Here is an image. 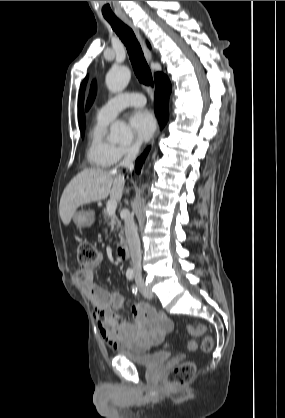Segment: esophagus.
Masks as SVG:
<instances>
[{
	"label": "esophagus",
	"mask_w": 285,
	"mask_h": 418,
	"mask_svg": "<svg viewBox=\"0 0 285 418\" xmlns=\"http://www.w3.org/2000/svg\"><path fill=\"white\" fill-rule=\"evenodd\" d=\"M120 18L135 32L139 42L141 43L144 56L148 63L152 62V54L150 50L148 49L144 39L142 38L140 31L135 23L132 22V20L125 14L120 15Z\"/></svg>",
	"instance_id": "esophagus-1"
}]
</instances>
